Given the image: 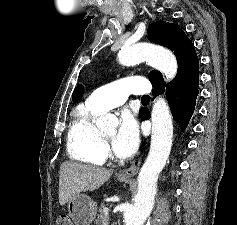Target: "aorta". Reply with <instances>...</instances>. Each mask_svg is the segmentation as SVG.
<instances>
[{
  "label": "aorta",
  "mask_w": 237,
  "mask_h": 225,
  "mask_svg": "<svg viewBox=\"0 0 237 225\" xmlns=\"http://www.w3.org/2000/svg\"><path fill=\"white\" fill-rule=\"evenodd\" d=\"M119 62L123 65H135L142 62L158 69L167 80L177 73V61L168 50L147 44H135L123 47L118 53ZM152 131L148 157L138 175V193L134 204L128 205L124 211L125 225H142L150 214L157 191V179L164 168L173 141V123L169 106L163 97L155 100L151 113ZM118 119L113 114L98 118L96 125L102 130L115 128Z\"/></svg>",
  "instance_id": "obj_1"
}]
</instances>
